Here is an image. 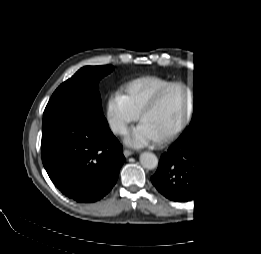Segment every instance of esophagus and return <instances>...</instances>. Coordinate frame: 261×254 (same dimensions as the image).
I'll list each match as a JSON object with an SVG mask.
<instances>
[{
	"label": "esophagus",
	"mask_w": 261,
	"mask_h": 254,
	"mask_svg": "<svg viewBox=\"0 0 261 254\" xmlns=\"http://www.w3.org/2000/svg\"><path fill=\"white\" fill-rule=\"evenodd\" d=\"M123 154H124L125 157H129V156H131V155L133 154V152H132V151H129V150H127V149H124V150H123Z\"/></svg>",
	"instance_id": "1"
}]
</instances>
